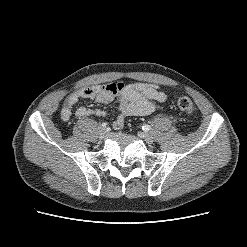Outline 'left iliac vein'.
<instances>
[{
  "label": "left iliac vein",
  "mask_w": 247,
  "mask_h": 247,
  "mask_svg": "<svg viewBox=\"0 0 247 247\" xmlns=\"http://www.w3.org/2000/svg\"><path fill=\"white\" fill-rule=\"evenodd\" d=\"M138 136L144 141H146L148 144L153 143V137L150 134L144 132H138Z\"/></svg>",
  "instance_id": "4c4485c4"
}]
</instances>
